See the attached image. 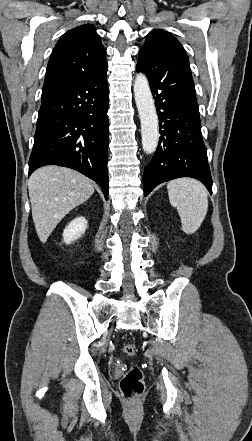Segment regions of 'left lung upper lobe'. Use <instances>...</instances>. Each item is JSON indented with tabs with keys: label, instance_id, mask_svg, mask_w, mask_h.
I'll return each instance as SVG.
<instances>
[{
	"label": "left lung upper lobe",
	"instance_id": "left-lung-upper-lobe-1",
	"mask_svg": "<svg viewBox=\"0 0 252 441\" xmlns=\"http://www.w3.org/2000/svg\"><path fill=\"white\" fill-rule=\"evenodd\" d=\"M164 48L176 49L187 57L183 46L173 36L164 30H153L147 37L145 44L140 49V54H152L154 51Z\"/></svg>",
	"mask_w": 252,
	"mask_h": 441
}]
</instances>
